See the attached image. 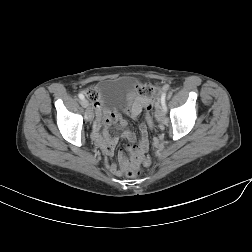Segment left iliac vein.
<instances>
[{"label":"left iliac vein","instance_id":"left-iliac-vein-1","mask_svg":"<svg viewBox=\"0 0 252 252\" xmlns=\"http://www.w3.org/2000/svg\"><path fill=\"white\" fill-rule=\"evenodd\" d=\"M157 109H158V111L156 113V119L158 121H164V119H165V110H164V108L161 105H158Z\"/></svg>","mask_w":252,"mask_h":252}]
</instances>
